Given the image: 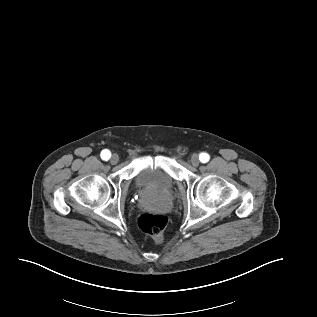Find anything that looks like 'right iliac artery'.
Wrapping results in <instances>:
<instances>
[{
	"mask_svg": "<svg viewBox=\"0 0 317 317\" xmlns=\"http://www.w3.org/2000/svg\"><path fill=\"white\" fill-rule=\"evenodd\" d=\"M111 157V153L108 149H104L102 152H101V158L105 161H107L109 158Z\"/></svg>",
	"mask_w": 317,
	"mask_h": 317,
	"instance_id": "82829eb1",
	"label": "right iliac artery"
}]
</instances>
